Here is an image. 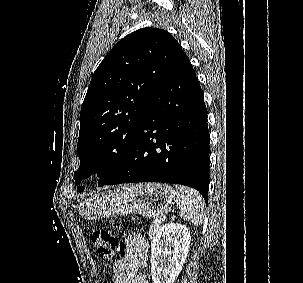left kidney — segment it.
I'll list each match as a JSON object with an SVG mask.
<instances>
[{"mask_svg":"<svg viewBox=\"0 0 303 283\" xmlns=\"http://www.w3.org/2000/svg\"><path fill=\"white\" fill-rule=\"evenodd\" d=\"M191 235L182 224H165L151 244V273L154 283H173L185 263Z\"/></svg>","mask_w":303,"mask_h":283,"instance_id":"left-kidney-1","label":"left kidney"}]
</instances>
